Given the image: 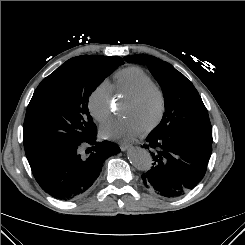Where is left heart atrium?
Segmentation results:
<instances>
[{"label":"left heart atrium","instance_id":"obj_1","mask_svg":"<svg viewBox=\"0 0 245 245\" xmlns=\"http://www.w3.org/2000/svg\"><path fill=\"white\" fill-rule=\"evenodd\" d=\"M100 132L106 138H124L126 140L134 139L141 133L128 119L107 122L102 125Z\"/></svg>","mask_w":245,"mask_h":245}]
</instances>
